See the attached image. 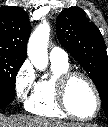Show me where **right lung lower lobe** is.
Segmentation results:
<instances>
[{
  "label": "right lung lower lobe",
  "instance_id": "obj_1",
  "mask_svg": "<svg viewBox=\"0 0 108 127\" xmlns=\"http://www.w3.org/2000/svg\"><path fill=\"white\" fill-rule=\"evenodd\" d=\"M13 99H14V96L0 94V108L11 103L13 101Z\"/></svg>",
  "mask_w": 108,
  "mask_h": 127
}]
</instances>
